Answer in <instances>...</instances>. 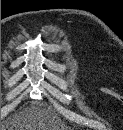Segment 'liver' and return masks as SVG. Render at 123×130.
<instances>
[{"label":"liver","mask_w":123,"mask_h":130,"mask_svg":"<svg viewBox=\"0 0 123 130\" xmlns=\"http://www.w3.org/2000/svg\"><path fill=\"white\" fill-rule=\"evenodd\" d=\"M56 118L52 113L38 107L26 108L7 118L4 130H57Z\"/></svg>","instance_id":"obj_1"}]
</instances>
